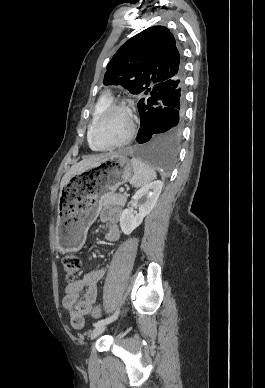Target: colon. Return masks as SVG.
Returning <instances> with one entry per match:
<instances>
[{"instance_id":"colon-1","label":"colon","mask_w":265,"mask_h":388,"mask_svg":"<svg viewBox=\"0 0 265 388\" xmlns=\"http://www.w3.org/2000/svg\"><path fill=\"white\" fill-rule=\"evenodd\" d=\"M62 265L66 274V279L72 282L81 267L80 258L74 253H69L64 256ZM90 314L95 318L100 317L102 315L101 307L93 306L90 310Z\"/></svg>"}]
</instances>
